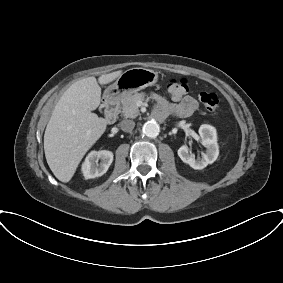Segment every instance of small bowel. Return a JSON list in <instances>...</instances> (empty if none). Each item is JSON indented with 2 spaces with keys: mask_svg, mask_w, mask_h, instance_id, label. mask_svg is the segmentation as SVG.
<instances>
[{
  "mask_svg": "<svg viewBox=\"0 0 283 283\" xmlns=\"http://www.w3.org/2000/svg\"><path fill=\"white\" fill-rule=\"evenodd\" d=\"M173 99L176 102L175 104L161 102L156 110V115L162 117L167 112H173L179 116L188 117L192 115L198 108V102L193 96L185 95Z\"/></svg>",
  "mask_w": 283,
  "mask_h": 283,
  "instance_id": "c3829d8e",
  "label": "small bowel"
}]
</instances>
